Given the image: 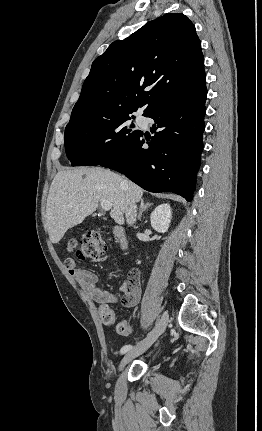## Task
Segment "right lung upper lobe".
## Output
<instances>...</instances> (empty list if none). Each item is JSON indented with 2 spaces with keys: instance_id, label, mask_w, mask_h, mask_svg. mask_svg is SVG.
<instances>
[{
  "instance_id": "obj_1",
  "label": "right lung upper lobe",
  "mask_w": 262,
  "mask_h": 431,
  "mask_svg": "<svg viewBox=\"0 0 262 431\" xmlns=\"http://www.w3.org/2000/svg\"><path fill=\"white\" fill-rule=\"evenodd\" d=\"M201 43L182 13L152 20L113 42L93 63L68 125L143 115L187 100L205 86Z\"/></svg>"
}]
</instances>
